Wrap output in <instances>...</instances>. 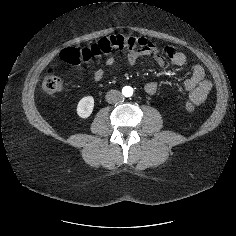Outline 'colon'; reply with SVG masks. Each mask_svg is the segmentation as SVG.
Listing matches in <instances>:
<instances>
[{
  "mask_svg": "<svg viewBox=\"0 0 236 236\" xmlns=\"http://www.w3.org/2000/svg\"><path fill=\"white\" fill-rule=\"evenodd\" d=\"M148 44L145 38L131 35H111L102 38L88 47H67L59 55L60 60L70 65H81L92 58H101L114 50H142ZM62 81L55 68L47 71L43 80V89L50 94L61 90ZM188 110H193L194 105L190 102L186 105Z\"/></svg>",
  "mask_w": 236,
  "mask_h": 236,
  "instance_id": "5ec220e1",
  "label": "colon"
}]
</instances>
